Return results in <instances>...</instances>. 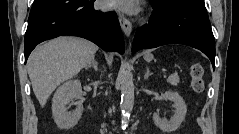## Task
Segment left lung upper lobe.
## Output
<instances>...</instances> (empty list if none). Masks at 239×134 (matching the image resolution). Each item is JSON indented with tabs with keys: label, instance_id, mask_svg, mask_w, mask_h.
<instances>
[{
	"label": "left lung upper lobe",
	"instance_id": "left-lung-upper-lobe-1",
	"mask_svg": "<svg viewBox=\"0 0 239 134\" xmlns=\"http://www.w3.org/2000/svg\"><path fill=\"white\" fill-rule=\"evenodd\" d=\"M171 0H150L151 3L155 4L156 6H163L170 2Z\"/></svg>",
	"mask_w": 239,
	"mask_h": 134
}]
</instances>
